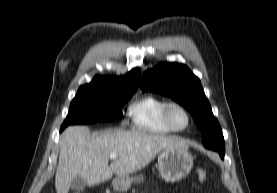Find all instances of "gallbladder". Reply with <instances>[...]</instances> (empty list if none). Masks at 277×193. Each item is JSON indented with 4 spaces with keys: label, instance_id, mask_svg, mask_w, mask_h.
Segmentation results:
<instances>
[{
    "label": "gallbladder",
    "instance_id": "1",
    "mask_svg": "<svg viewBox=\"0 0 277 193\" xmlns=\"http://www.w3.org/2000/svg\"><path fill=\"white\" fill-rule=\"evenodd\" d=\"M85 185L84 180L78 176L72 179L70 187L73 190H83Z\"/></svg>",
    "mask_w": 277,
    "mask_h": 193
}]
</instances>
